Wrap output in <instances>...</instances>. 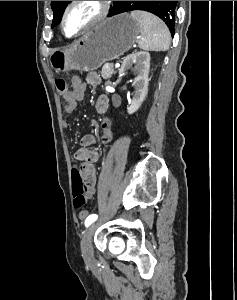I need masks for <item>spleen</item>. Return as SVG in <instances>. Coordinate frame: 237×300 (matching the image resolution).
<instances>
[{
  "label": "spleen",
  "instance_id": "1",
  "mask_svg": "<svg viewBox=\"0 0 237 300\" xmlns=\"http://www.w3.org/2000/svg\"><path fill=\"white\" fill-rule=\"evenodd\" d=\"M132 19L140 25L141 39L139 49L143 51H168L170 45V31L165 23L146 11H132Z\"/></svg>",
  "mask_w": 237,
  "mask_h": 300
}]
</instances>
